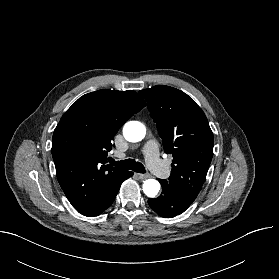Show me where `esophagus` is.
<instances>
[{"instance_id": "34e87169", "label": "esophagus", "mask_w": 279, "mask_h": 279, "mask_svg": "<svg viewBox=\"0 0 279 279\" xmlns=\"http://www.w3.org/2000/svg\"><path fill=\"white\" fill-rule=\"evenodd\" d=\"M136 175H137L140 179H146V178H149V177H150L149 174L137 173Z\"/></svg>"}]
</instances>
